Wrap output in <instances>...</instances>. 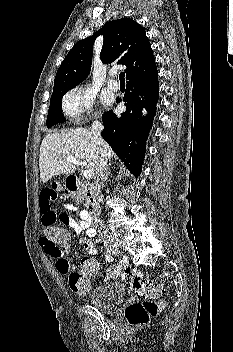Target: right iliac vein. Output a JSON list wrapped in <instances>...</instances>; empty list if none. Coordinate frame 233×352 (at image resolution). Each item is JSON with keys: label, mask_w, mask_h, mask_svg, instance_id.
Listing matches in <instances>:
<instances>
[{"label": "right iliac vein", "mask_w": 233, "mask_h": 352, "mask_svg": "<svg viewBox=\"0 0 233 352\" xmlns=\"http://www.w3.org/2000/svg\"><path fill=\"white\" fill-rule=\"evenodd\" d=\"M117 251H119L118 246H110V247L108 248V253H109V254H115Z\"/></svg>", "instance_id": "1"}]
</instances>
